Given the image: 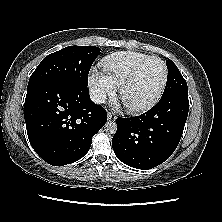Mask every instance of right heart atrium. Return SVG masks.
<instances>
[{
	"mask_svg": "<svg viewBox=\"0 0 222 222\" xmlns=\"http://www.w3.org/2000/svg\"><path fill=\"white\" fill-rule=\"evenodd\" d=\"M88 86L93 100L97 103H103L108 98L114 97L117 91L110 79L96 69L91 70L89 74Z\"/></svg>",
	"mask_w": 222,
	"mask_h": 222,
	"instance_id": "1",
	"label": "right heart atrium"
}]
</instances>
